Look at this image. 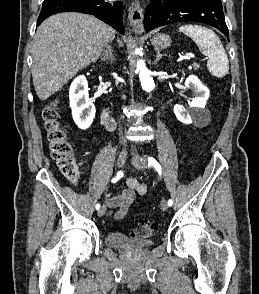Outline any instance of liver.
Returning a JSON list of instances; mask_svg holds the SVG:
<instances>
[{
    "label": "liver",
    "instance_id": "liver-1",
    "mask_svg": "<svg viewBox=\"0 0 259 294\" xmlns=\"http://www.w3.org/2000/svg\"><path fill=\"white\" fill-rule=\"evenodd\" d=\"M114 38V29L91 15L68 12L47 18L36 32L32 52V78L39 99H48L95 62Z\"/></svg>",
    "mask_w": 259,
    "mask_h": 294
}]
</instances>
